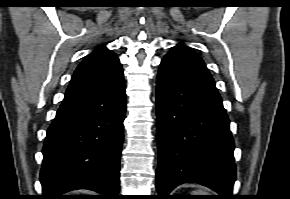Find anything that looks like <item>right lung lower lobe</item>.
Instances as JSON below:
<instances>
[{"label": "right lung lower lobe", "mask_w": 290, "mask_h": 199, "mask_svg": "<svg viewBox=\"0 0 290 199\" xmlns=\"http://www.w3.org/2000/svg\"><path fill=\"white\" fill-rule=\"evenodd\" d=\"M125 112L124 80L101 93L63 101L43 146L41 199H68L62 194L76 189L117 199Z\"/></svg>", "instance_id": "1"}]
</instances>
